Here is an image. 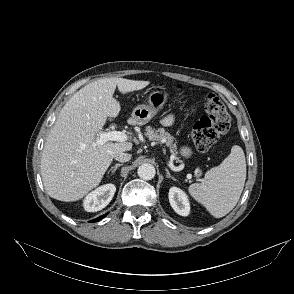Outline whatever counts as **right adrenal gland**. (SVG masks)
Wrapping results in <instances>:
<instances>
[{"instance_id":"right-adrenal-gland-1","label":"right adrenal gland","mask_w":294,"mask_h":294,"mask_svg":"<svg viewBox=\"0 0 294 294\" xmlns=\"http://www.w3.org/2000/svg\"><path fill=\"white\" fill-rule=\"evenodd\" d=\"M122 165H123V164H121V163H117V164H115L114 166H112V167L109 169L108 174L110 173V171H112V174H114L115 171L118 169V167H120V166H122Z\"/></svg>"}]
</instances>
